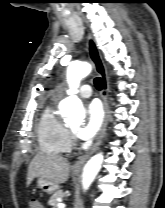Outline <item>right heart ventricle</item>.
Masks as SVG:
<instances>
[{"instance_id": "right-heart-ventricle-1", "label": "right heart ventricle", "mask_w": 165, "mask_h": 208, "mask_svg": "<svg viewBox=\"0 0 165 208\" xmlns=\"http://www.w3.org/2000/svg\"><path fill=\"white\" fill-rule=\"evenodd\" d=\"M37 138L40 149L47 154H64L71 149L69 131L51 106H47L39 118Z\"/></svg>"}]
</instances>
